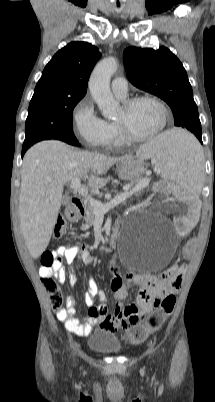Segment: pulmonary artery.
Masks as SVG:
<instances>
[{
  "label": "pulmonary artery",
  "instance_id": "e3ab8cb5",
  "mask_svg": "<svg viewBox=\"0 0 215 402\" xmlns=\"http://www.w3.org/2000/svg\"><path fill=\"white\" fill-rule=\"evenodd\" d=\"M112 92L117 97H126L128 93V83L123 77H116L111 84Z\"/></svg>",
  "mask_w": 215,
  "mask_h": 402
}]
</instances>
